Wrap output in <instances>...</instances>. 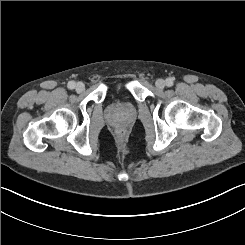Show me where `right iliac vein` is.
I'll return each mask as SVG.
<instances>
[{
  "mask_svg": "<svg viewBox=\"0 0 245 245\" xmlns=\"http://www.w3.org/2000/svg\"><path fill=\"white\" fill-rule=\"evenodd\" d=\"M84 89H85V85H84L82 82H78V83L75 85V90H76V92H78V93L83 92Z\"/></svg>",
  "mask_w": 245,
  "mask_h": 245,
  "instance_id": "1",
  "label": "right iliac vein"
}]
</instances>
